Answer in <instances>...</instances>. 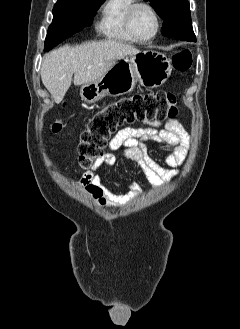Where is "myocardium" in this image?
Wrapping results in <instances>:
<instances>
[{
    "mask_svg": "<svg viewBox=\"0 0 240 329\" xmlns=\"http://www.w3.org/2000/svg\"><path fill=\"white\" fill-rule=\"evenodd\" d=\"M146 8L154 16L156 27L154 32L149 37H139L133 29V17L137 9ZM125 27L127 33L137 42H148L153 40L161 29V17L158 10L149 2L146 1H137L135 2L128 10L125 18Z\"/></svg>",
    "mask_w": 240,
    "mask_h": 329,
    "instance_id": "f54148a6",
    "label": "myocardium"
}]
</instances>
